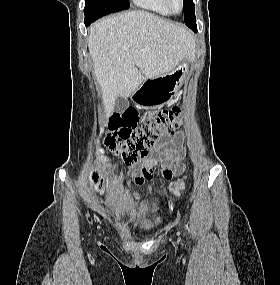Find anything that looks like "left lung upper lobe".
<instances>
[{
	"instance_id": "1",
	"label": "left lung upper lobe",
	"mask_w": 280,
	"mask_h": 285,
	"mask_svg": "<svg viewBox=\"0 0 280 285\" xmlns=\"http://www.w3.org/2000/svg\"><path fill=\"white\" fill-rule=\"evenodd\" d=\"M184 20H185V24L190 29L191 27L197 28L195 12H194V3L192 0H184Z\"/></svg>"
}]
</instances>
